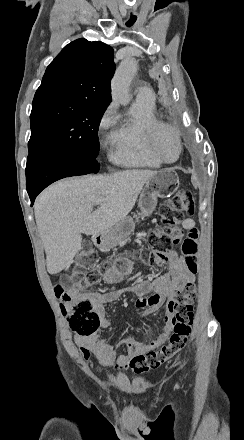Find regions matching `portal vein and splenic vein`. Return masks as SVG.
Returning a JSON list of instances; mask_svg holds the SVG:
<instances>
[{"mask_svg": "<svg viewBox=\"0 0 244 440\" xmlns=\"http://www.w3.org/2000/svg\"><path fill=\"white\" fill-rule=\"evenodd\" d=\"M103 200H97V202H95L96 206H100V204H102Z\"/></svg>", "mask_w": 244, "mask_h": 440, "instance_id": "18ae733b", "label": "portal vein and splenic vein"}]
</instances>
